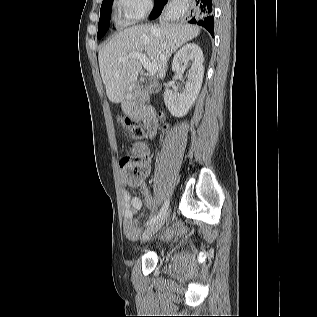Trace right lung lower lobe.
Masks as SVG:
<instances>
[{"label":"right lung lower lobe","instance_id":"obj_1","mask_svg":"<svg viewBox=\"0 0 317 317\" xmlns=\"http://www.w3.org/2000/svg\"><path fill=\"white\" fill-rule=\"evenodd\" d=\"M168 0H157L150 15L151 19L157 18ZM190 23L205 27L214 36L213 0H192Z\"/></svg>","mask_w":317,"mask_h":317}]
</instances>
